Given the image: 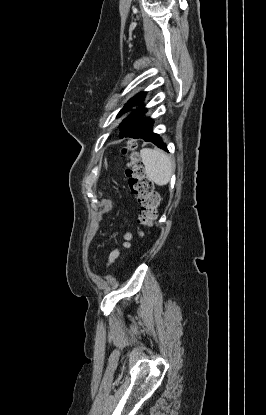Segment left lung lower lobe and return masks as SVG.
I'll list each match as a JSON object with an SVG mask.
<instances>
[{"mask_svg": "<svg viewBox=\"0 0 266 415\" xmlns=\"http://www.w3.org/2000/svg\"><path fill=\"white\" fill-rule=\"evenodd\" d=\"M134 138H142L145 141L154 143L157 147L167 150L166 144L162 141L160 136L156 133L150 132L143 135L135 136Z\"/></svg>", "mask_w": 266, "mask_h": 415, "instance_id": "1", "label": "left lung lower lobe"}]
</instances>
